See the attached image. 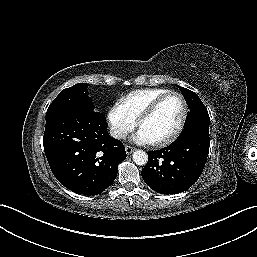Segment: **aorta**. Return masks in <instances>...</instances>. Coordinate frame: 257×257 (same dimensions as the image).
I'll return each mask as SVG.
<instances>
[{
	"mask_svg": "<svg viewBox=\"0 0 257 257\" xmlns=\"http://www.w3.org/2000/svg\"><path fill=\"white\" fill-rule=\"evenodd\" d=\"M132 156L137 165H145L148 161V155L143 150L135 151Z\"/></svg>",
	"mask_w": 257,
	"mask_h": 257,
	"instance_id": "obj_1",
	"label": "aorta"
}]
</instances>
